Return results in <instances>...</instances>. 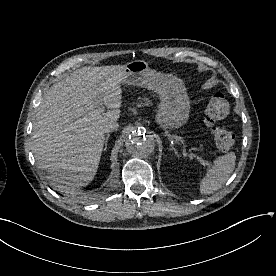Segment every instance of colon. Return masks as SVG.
Masks as SVG:
<instances>
[{"label": "colon", "mask_w": 276, "mask_h": 276, "mask_svg": "<svg viewBox=\"0 0 276 276\" xmlns=\"http://www.w3.org/2000/svg\"><path fill=\"white\" fill-rule=\"evenodd\" d=\"M230 105L226 97L221 93L214 94L205 109V123L210 128L218 150L227 152L235 144L234 134L219 126V122L229 114Z\"/></svg>", "instance_id": "5ec220e1"}]
</instances>
